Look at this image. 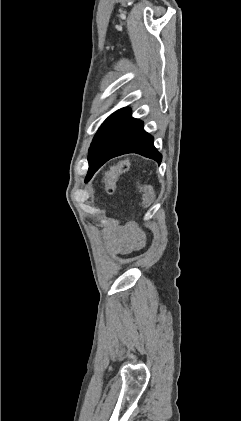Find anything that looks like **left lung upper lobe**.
Masks as SVG:
<instances>
[{
  "mask_svg": "<svg viewBox=\"0 0 241 421\" xmlns=\"http://www.w3.org/2000/svg\"><path fill=\"white\" fill-rule=\"evenodd\" d=\"M123 111L124 108L113 113L104 121V123L99 128L89 148V165L96 162L99 158L116 122L118 121Z\"/></svg>",
  "mask_w": 241,
  "mask_h": 421,
  "instance_id": "1",
  "label": "left lung upper lobe"
}]
</instances>
